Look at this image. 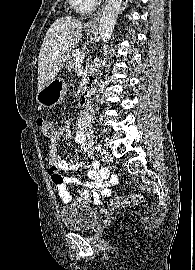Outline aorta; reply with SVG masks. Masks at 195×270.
<instances>
[{
    "instance_id": "obj_1",
    "label": "aorta",
    "mask_w": 195,
    "mask_h": 270,
    "mask_svg": "<svg viewBox=\"0 0 195 270\" xmlns=\"http://www.w3.org/2000/svg\"><path fill=\"white\" fill-rule=\"evenodd\" d=\"M123 0H108L99 22V34L103 43H107L113 33Z\"/></svg>"
}]
</instances>
